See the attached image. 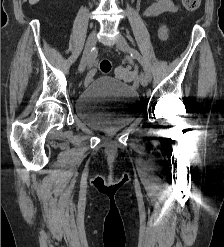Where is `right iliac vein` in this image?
<instances>
[{
  "label": "right iliac vein",
  "mask_w": 224,
  "mask_h": 247,
  "mask_svg": "<svg viewBox=\"0 0 224 247\" xmlns=\"http://www.w3.org/2000/svg\"><path fill=\"white\" fill-rule=\"evenodd\" d=\"M95 45H96V29H94L90 33V35L87 39L84 54H83V57L81 59V62L79 64V68H78V71L80 73H82L85 70L86 66L89 64V62L92 58L93 49L95 48Z\"/></svg>",
  "instance_id": "1"
}]
</instances>
